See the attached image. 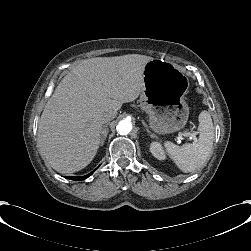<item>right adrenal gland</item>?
Returning <instances> with one entry per match:
<instances>
[{"label": "right adrenal gland", "mask_w": 251, "mask_h": 251, "mask_svg": "<svg viewBox=\"0 0 251 251\" xmlns=\"http://www.w3.org/2000/svg\"><path fill=\"white\" fill-rule=\"evenodd\" d=\"M109 132V128L108 125H104L102 126V130H101V138H100V144L103 145L105 142V139L108 135Z\"/></svg>", "instance_id": "right-adrenal-gland-1"}]
</instances>
